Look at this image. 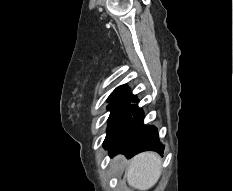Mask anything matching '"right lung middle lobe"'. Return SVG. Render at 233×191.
<instances>
[{
    "label": "right lung middle lobe",
    "instance_id": "right-lung-middle-lobe-1",
    "mask_svg": "<svg viewBox=\"0 0 233 191\" xmlns=\"http://www.w3.org/2000/svg\"><path fill=\"white\" fill-rule=\"evenodd\" d=\"M108 102L110 103L108 105V110L111 111L110 117H109V124H108V130H109L116 124L119 118L126 111L129 105V102L126 97L118 98V99H111V100H108Z\"/></svg>",
    "mask_w": 233,
    "mask_h": 191
}]
</instances>
